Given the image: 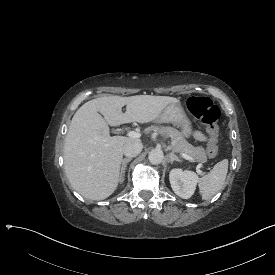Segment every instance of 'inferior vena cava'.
I'll return each mask as SVG.
<instances>
[{
  "label": "inferior vena cava",
  "instance_id": "1",
  "mask_svg": "<svg viewBox=\"0 0 275 275\" xmlns=\"http://www.w3.org/2000/svg\"><path fill=\"white\" fill-rule=\"evenodd\" d=\"M142 144L140 142H129L123 147V153L127 157H135L142 151Z\"/></svg>",
  "mask_w": 275,
  "mask_h": 275
}]
</instances>
